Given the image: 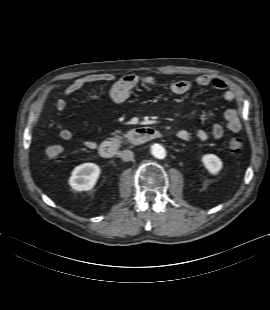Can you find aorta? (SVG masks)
I'll return each instance as SVG.
<instances>
[{
    "label": "aorta",
    "instance_id": "1",
    "mask_svg": "<svg viewBox=\"0 0 270 310\" xmlns=\"http://www.w3.org/2000/svg\"><path fill=\"white\" fill-rule=\"evenodd\" d=\"M151 151L153 156L157 159H164L166 157V151L164 147L159 144L152 145Z\"/></svg>",
    "mask_w": 270,
    "mask_h": 310
}]
</instances>
